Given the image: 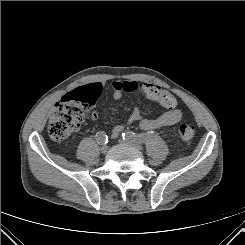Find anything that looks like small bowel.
<instances>
[{"label":"small bowel","mask_w":245,"mask_h":245,"mask_svg":"<svg viewBox=\"0 0 245 245\" xmlns=\"http://www.w3.org/2000/svg\"><path fill=\"white\" fill-rule=\"evenodd\" d=\"M101 85L100 83H97ZM114 99H120L124 93L137 92L147 99L158 102L164 113L156 118H149L144 116L141 110L134 107L129 118L128 123L137 122L141 129L145 131H153L165 126L177 124L183 116L182 110L176 107V96L172 92H167L159 86L149 83H138L130 81H114L111 84ZM91 119H98V112L91 113ZM123 130V126H116L112 130V136L117 137Z\"/></svg>","instance_id":"obj_1"}]
</instances>
